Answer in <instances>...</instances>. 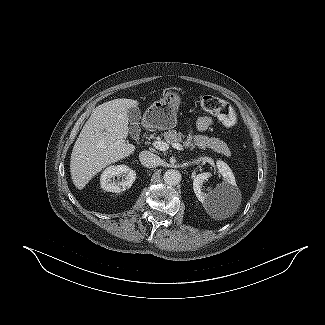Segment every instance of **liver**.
Segmentation results:
<instances>
[{"label": "liver", "instance_id": "liver-1", "mask_svg": "<svg viewBox=\"0 0 325 325\" xmlns=\"http://www.w3.org/2000/svg\"><path fill=\"white\" fill-rule=\"evenodd\" d=\"M138 102L114 99L93 109L72 150L70 172L73 184L83 189L107 165L130 156L135 146L126 142L128 110Z\"/></svg>", "mask_w": 325, "mask_h": 325}]
</instances>
